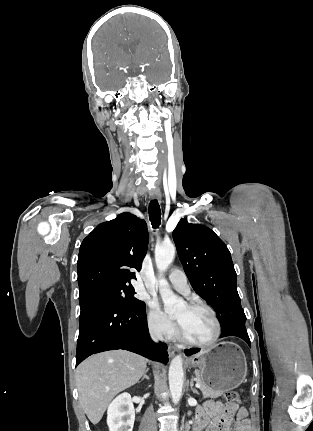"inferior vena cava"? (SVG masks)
I'll return each instance as SVG.
<instances>
[{
	"label": "inferior vena cava",
	"instance_id": "602c4592",
	"mask_svg": "<svg viewBox=\"0 0 313 431\" xmlns=\"http://www.w3.org/2000/svg\"><path fill=\"white\" fill-rule=\"evenodd\" d=\"M150 335L154 341L162 340V330L159 326H152L150 328Z\"/></svg>",
	"mask_w": 313,
	"mask_h": 431
}]
</instances>
